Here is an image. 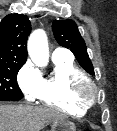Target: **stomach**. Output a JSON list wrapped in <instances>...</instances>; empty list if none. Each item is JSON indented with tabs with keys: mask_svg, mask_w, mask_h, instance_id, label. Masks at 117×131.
Wrapping results in <instances>:
<instances>
[{
	"mask_svg": "<svg viewBox=\"0 0 117 131\" xmlns=\"http://www.w3.org/2000/svg\"><path fill=\"white\" fill-rule=\"evenodd\" d=\"M50 131H76V126L67 119H59L52 123Z\"/></svg>",
	"mask_w": 117,
	"mask_h": 131,
	"instance_id": "0dacf381",
	"label": "stomach"
}]
</instances>
